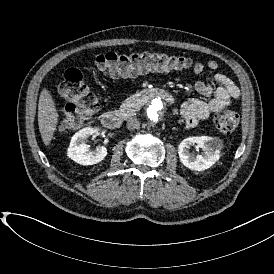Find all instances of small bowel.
<instances>
[{"mask_svg": "<svg viewBox=\"0 0 274 274\" xmlns=\"http://www.w3.org/2000/svg\"><path fill=\"white\" fill-rule=\"evenodd\" d=\"M218 68V63L213 60L208 61L206 65L199 61L194 63V74L199 77L207 74L216 83V87L201 79L195 82L194 88L197 93L203 96L212 95L213 98L208 101L192 98L182 104L180 115L186 127L197 126L200 122L207 120L212 113L229 106L240 97L238 86L227 75L217 73ZM129 75L131 74L123 76Z\"/></svg>", "mask_w": 274, "mask_h": 274, "instance_id": "c3829d8e", "label": "small bowel"}]
</instances>
